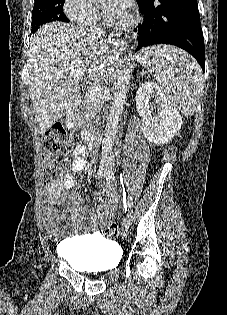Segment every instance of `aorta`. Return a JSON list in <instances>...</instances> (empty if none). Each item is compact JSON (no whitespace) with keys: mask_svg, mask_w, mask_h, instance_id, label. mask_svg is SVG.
<instances>
[{"mask_svg":"<svg viewBox=\"0 0 227 315\" xmlns=\"http://www.w3.org/2000/svg\"><path fill=\"white\" fill-rule=\"evenodd\" d=\"M130 73V68L124 67L118 73L117 79L113 84V100L109 110L105 140L102 147L101 161L105 163H109L112 160L113 142L130 84Z\"/></svg>","mask_w":227,"mask_h":315,"instance_id":"762f6f07","label":"aorta"}]
</instances>
